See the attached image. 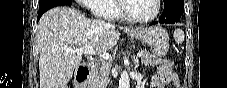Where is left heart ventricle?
<instances>
[{
	"instance_id": "left-heart-ventricle-1",
	"label": "left heart ventricle",
	"mask_w": 227,
	"mask_h": 88,
	"mask_svg": "<svg viewBox=\"0 0 227 88\" xmlns=\"http://www.w3.org/2000/svg\"><path fill=\"white\" fill-rule=\"evenodd\" d=\"M127 11L137 18H147L156 11L154 0H132L126 3Z\"/></svg>"
}]
</instances>
